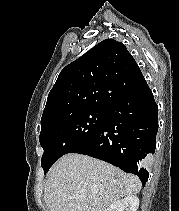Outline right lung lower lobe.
Listing matches in <instances>:
<instances>
[{"instance_id":"obj_1","label":"right lung lower lobe","mask_w":179,"mask_h":211,"mask_svg":"<svg viewBox=\"0 0 179 211\" xmlns=\"http://www.w3.org/2000/svg\"><path fill=\"white\" fill-rule=\"evenodd\" d=\"M158 107L146 80L117 100L97 133L71 153L85 154L137 175L145 186L155 152Z\"/></svg>"}]
</instances>
